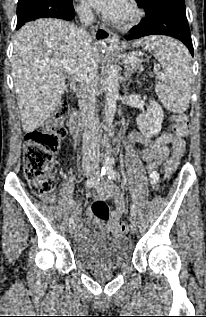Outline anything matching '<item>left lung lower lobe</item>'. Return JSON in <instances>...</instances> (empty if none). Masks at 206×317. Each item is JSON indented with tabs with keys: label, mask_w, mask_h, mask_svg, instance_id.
<instances>
[{
	"label": "left lung lower lobe",
	"mask_w": 206,
	"mask_h": 317,
	"mask_svg": "<svg viewBox=\"0 0 206 317\" xmlns=\"http://www.w3.org/2000/svg\"><path fill=\"white\" fill-rule=\"evenodd\" d=\"M131 33L124 36L126 40L137 39L147 35H167L179 39L189 49L193 56V45L185 14L162 11L145 18L131 28Z\"/></svg>",
	"instance_id": "left-lung-lower-lobe-1"
}]
</instances>
